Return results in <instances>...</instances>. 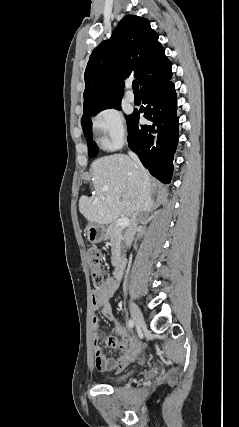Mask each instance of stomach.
Returning <instances> with one entry per match:
<instances>
[{
  "mask_svg": "<svg viewBox=\"0 0 239 427\" xmlns=\"http://www.w3.org/2000/svg\"><path fill=\"white\" fill-rule=\"evenodd\" d=\"M87 238L93 243L97 244L107 239L106 227L98 223H89L87 228Z\"/></svg>",
  "mask_w": 239,
  "mask_h": 427,
  "instance_id": "1",
  "label": "stomach"
}]
</instances>
